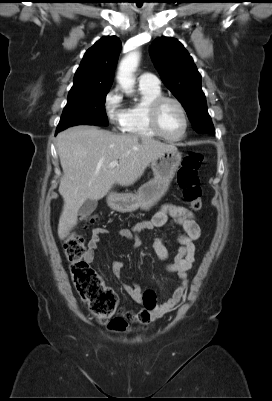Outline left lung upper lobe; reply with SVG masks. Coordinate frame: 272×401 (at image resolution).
<instances>
[{"label": "left lung upper lobe", "mask_w": 272, "mask_h": 401, "mask_svg": "<svg viewBox=\"0 0 272 401\" xmlns=\"http://www.w3.org/2000/svg\"><path fill=\"white\" fill-rule=\"evenodd\" d=\"M150 55L163 83L183 105L196 132L215 134L201 88V75L192 57L175 38H157Z\"/></svg>", "instance_id": "obj_1"}]
</instances>
